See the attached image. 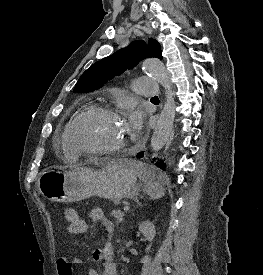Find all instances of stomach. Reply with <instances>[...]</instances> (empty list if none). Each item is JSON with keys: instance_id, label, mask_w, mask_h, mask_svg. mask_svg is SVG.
Wrapping results in <instances>:
<instances>
[{"instance_id": "stomach-1", "label": "stomach", "mask_w": 263, "mask_h": 275, "mask_svg": "<svg viewBox=\"0 0 263 275\" xmlns=\"http://www.w3.org/2000/svg\"><path fill=\"white\" fill-rule=\"evenodd\" d=\"M37 186L39 192L53 202H77L99 196L118 204L123 198H134L140 190L136 173L126 161L110 162L98 170L48 169L39 176Z\"/></svg>"}]
</instances>
